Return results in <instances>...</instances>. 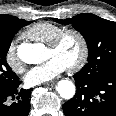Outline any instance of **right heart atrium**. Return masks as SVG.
<instances>
[{
  "label": "right heart atrium",
  "mask_w": 116,
  "mask_h": 116,
  "mask_svg": "<svg viewBox=\"0 0 116 116\" xmlns=\"http://www.w3.org/2000/svg\"><path fill=\"white\" fill-rule=\"evenodd\" d=\"M4 59L6 64L16 73H22L25 65L17 52L15 41H11L5 51Z\"/></svg>",
  "instance_id": "d8ad5b80"
}]
</instances>
